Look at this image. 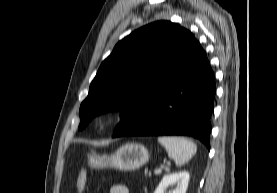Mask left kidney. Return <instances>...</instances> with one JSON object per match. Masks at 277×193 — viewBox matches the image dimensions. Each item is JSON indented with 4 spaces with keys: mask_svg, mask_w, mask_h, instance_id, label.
<instances>
[{
    "mask_svg": "<svg viewBox=\"0 0 277 193\" xmlns=\"http://www.w3.org/2000/svg\"><path fill=\"white\" fill-rule=\"evenodd\" d=\"M189 182V173L182 171L165 175L154 193H165L169 186L175 185V188L169 193H186Z\"/></svg>",
    "mask_w": 277,
    "mask_h": 193,
    "instance_id": "1",
    "label": "left kidney"
}]
</instances>
